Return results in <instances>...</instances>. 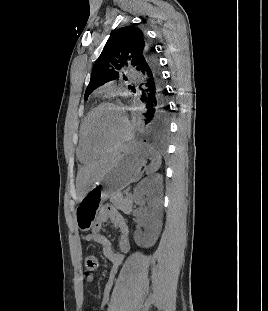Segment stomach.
<instances>
[{
  "label": "stomach",
  "mask_w": 268,
  "mask_h": 311,
  "mask_svg": "<svg viewBox=\"0 0 268 311\" xmlns=\"http://www.w3.org/2000/svg\"><path fill=\"white\" fill-rule=\"evenodd\" d=\"M148 158V148L127 146L119 153L105 174L94 182L75 209V222L82 232L89 231L102 203L138 181Z\"/></svg>",
  "instance_id": "stomach-1"
}]
</instances>
